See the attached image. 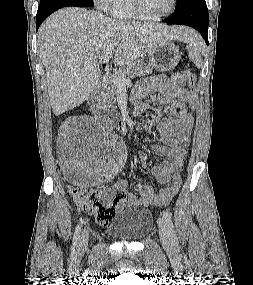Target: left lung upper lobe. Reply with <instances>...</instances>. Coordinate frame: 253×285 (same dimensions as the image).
I'll use <instances>...</instances> for the list:
<instances>
[{"label": "left lung upper lobe", "instance_id": "left-lung-upper-lobe-1", "mask_svg": "<svg viewBox=\"0 0 253 285\" xmlns=\"http://www.w3.org/2000/svg\"><path fill=\"white\" fill-rule=\"evenodd\" d=\"M177 6L180 5L182 2H184L185 0H177Z\"/></svg>", "mask_w": 253, "mask_h": 285}]
</instances>
